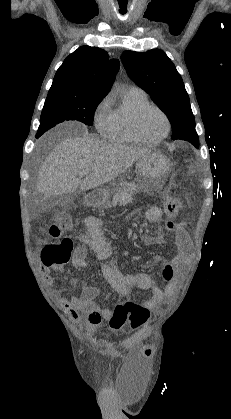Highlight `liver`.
I'll list each match as a JSON object with an SVG mask.
<instances>
[{"label":"liver","mask_w":231,"mask_h":419,"mask_svg":"<svg viewBox=\"0 0 231 419\" xmlns=\"http://www.w3.org/2000/svg\"><path fill=\"white\" fill-rule=\"evenodd\" d=\"M150 152L88 136L67 138L42 165L37 190L47 198L97 188L114 180ZM83 170L89 174L81 180L79 173Z\"/></svg>","instance_id":"6515ba94"}]
</instances>
